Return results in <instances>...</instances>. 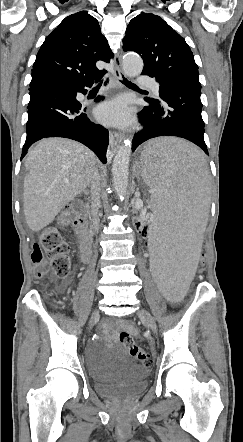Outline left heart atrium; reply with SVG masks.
I'll return each instance as SVG.
<instances>
[{
  "label": "left heart atrium",
  "instance_id": "1",
  "mask_svg": "<svg viewBox=\"0 0 243 442\" xmlns=\"http://www.w3.org/2000/svg\"><path fill=\"white\" fill-rule=\"evenodd\" d=\"M96 114L103 123L125 126L132 121L134 111L125 97H116L100 104Z\"/></svg>",
  "mask_w": 243,
  "mask_h": 442
}]
</instances>
